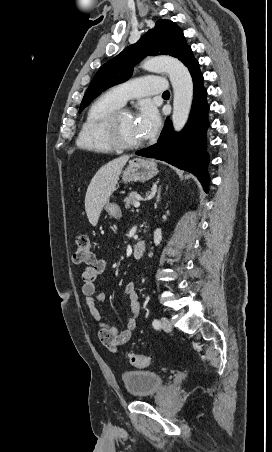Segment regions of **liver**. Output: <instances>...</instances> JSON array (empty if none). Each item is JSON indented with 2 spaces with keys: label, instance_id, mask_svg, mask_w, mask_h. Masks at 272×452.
Returning a JSON list of instances; mask_svg holds the SVG:
<instances>
[{
  "label": "liver",
  "instance_id": "obj_1",
  "mask_svg": "<svg viewBox=\"0 0 272 452\" xmlns=\"http://www.w3.org/2000/svg\"><path fill=\"white\" fill-rule=\"evenodd\" d=\"M129 158L125 155L108 162L92 178L85 196V210L92 226L97 225L100 213L116 190L119 176Z\"/></svg>",
  "mask_w": 272,
  "mask_h": 452
}]
</instances>
